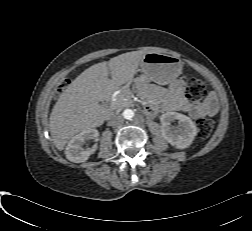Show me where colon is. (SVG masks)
Masks as SVG:
<instances>
[{"mask_svg":"<svg viewBox=\"0 0 252 231\" xmlns=\"http://www.w3.org/2000/svg\"><path fill=\"white\" fill-rule=\"evenodd\" d=\"M198 94H199L198 90L193 89L190 95L192 98L196 99L198 97Z\"/></svg>","mask_w":252,"mask_h":231,"instance_id":"5ec220e1","label":"colon"}]
</instances>
